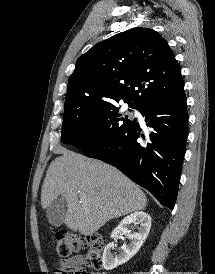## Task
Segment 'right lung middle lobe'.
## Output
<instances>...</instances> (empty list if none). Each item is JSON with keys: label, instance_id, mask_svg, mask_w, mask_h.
<instances>
[{"label": "right lung middle lobe", "instance_id": "right-lung-middle-lobe-1", "mask_svg": "<svg viewBox=\"0 0 215 274\" xmlns=\"http://www.w3.org/2000/svg\"><path fill=\"white\" fill-rule=\"evenodd\" d=\"M133 122L128 115L120 114L116 102L65 103L61 142L86 151L126 130Z\"/></svg>", "mask_w": 215, "mask_h": 274}]
</instances>
